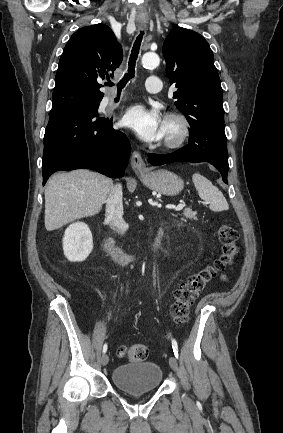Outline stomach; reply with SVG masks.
Instances as JSON below:
<instances>
[{"label":"stomach","instance_id":"1","mask_svg":"<svg viewBox=\"0 0 283 433\" xmlns=\"http://www.w3.org/2000/svg\"><path fill=\"white\" fill-rule=\"evenodd\" d=\"M142 182L151 188V190H156V192H162V194H168V196H173V194H179L184 188V182L180 176L165 170V168H160V170H153V172H139L137 170Z\"/></svg>","mask_w":283,"mask_h":433}]
</instances>
